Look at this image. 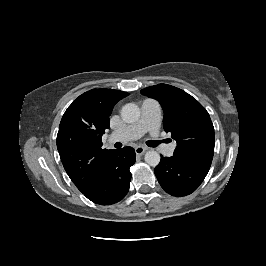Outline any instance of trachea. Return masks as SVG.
<instances>
[{"label": "trachea", "mask_w": 266, "mask_h": 266, "mask_svg": "<svg viewBox=\"0 0 266 266\" xmlns=\"http://www.w3.org/2000/svg\"><path fill=\"white\" fill-rule=\"evenodd\" d=\"M163 141H152V140H149L146 142V144L149 146V147H157L160 143H162Z\"/></svg>", "instance_id": "obj_1"}]
</instances>
